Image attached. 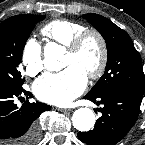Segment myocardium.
Here are the masks:
<instances>
[{
	"label": "myocardium",
	"instance_id": "1",
	"mask_svg": "<svg viewBox=\"0 0 145 145\" xmlns=\"http://www.w3.org/2000/svg\"><path fill=\"white\" fill-rule=\"evenodd\" d=\"M89 38H95L99 43L100 61L97 68L94 71L88 73L87 77L91 80H97L101 78L102 75L105 73L109 59L108 45L104 36L97 30L86 29L85 31L74 37L66 47L69 53L75 54L79 52L85 41Z\"/></svg>",
	"mask_w": 145,
	"mask_h": 145
}]
</instances>
